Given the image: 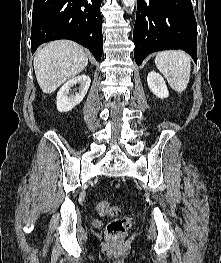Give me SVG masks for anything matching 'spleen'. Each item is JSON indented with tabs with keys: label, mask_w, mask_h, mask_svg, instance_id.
Returning <instances> with one entry per match:
<instances>
[{
	"label": "spleen",
	"mask_w": 221,
	"mask_h": 263,
	"mask_svg": "<svg viewBox=\"0 0 221 263\" xmlns=\"http://www.w3.org/2000/svg\"><path fill=\"white\" fill-rule=\"evenodd\" d=\"M155 65L173 90L181 93L187 88L191 72V58L187 53L162 51L156 55Z\"/></svg>",
	"instance_id": "3e777b00"
}]
</instances>
